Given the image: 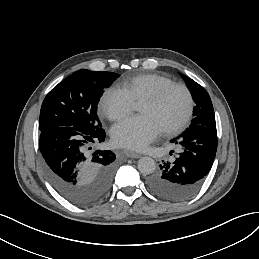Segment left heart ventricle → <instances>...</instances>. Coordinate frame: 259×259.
I'll return each mask as SVG.
<instances>
[{
	"label": "left heart ventricle",
	"mask_w": 259,
	"mask_h": 259,
	"mask_svg": "<svg viewBox=\"0 0 259 259\" xmlns=\"http://www.w3.org/2000/svg\"><path fill=\"white\" fill-rule=\"evenodd\" d=\"M186 110V97L180 90L173 91L158 105L140 103L137 112L140 116L149 117L161 130L176 124Z\"/></svg>",
	"instance_id": "b2bd125f"
}]
</instances>
